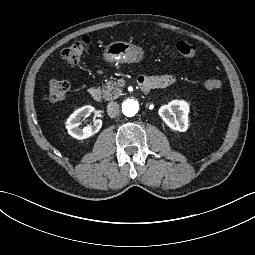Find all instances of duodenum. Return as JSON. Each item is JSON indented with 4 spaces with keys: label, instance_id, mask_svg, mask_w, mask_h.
I'll return each instance as SVG.
<instances>
[{
    "label": "duodenum",
    "instance_id": "obj_1",
    "mask_svg": "<svg viewBox=\"0 0 255 255\" xmlns=\"http://www.w3.org/2000/svg\"><path fill=\"white\" fill-rule=\"evenodd\" d=\"M138 85L144 93H148L150 89L152 88V82L145 79V78H139ZM88 94L96 101H99L101 99V91L97 87H90L88 89Z\"/></svg>",
    "mask_w": 255,
    "mask_h": 255
}]
</instances>
